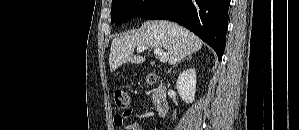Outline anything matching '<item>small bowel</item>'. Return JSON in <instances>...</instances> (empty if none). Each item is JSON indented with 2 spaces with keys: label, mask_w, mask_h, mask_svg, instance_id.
Returning <instances> with one entry per match:
<instances>
[{
  "label": "small bowel",
  "mask_w": 299,
  "mask_h": 130,
  "mask_svg": "<svg viewBox=\"0 0 299 130\" xmlns=\"http://www.w3.org/2000/svg\"><path fill=\"white\" fill-rule=\"evenodd\" d=\"M132 113H133V111L131 109H128V110L124 111L123 113H117L114 116L115 125L122 126L124 124L125 120L127 118H129L132 115ZM123 130H142V129L137 124L132 123V124L126 125Z\"/></svg>",
  "instance_id": "obj_1"
}]
</instances>
